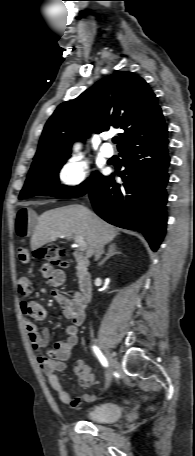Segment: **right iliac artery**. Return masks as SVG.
<instances>
[{
	"mask_svg": "<svg viewBox=\"0 0 195 456\" xmlns=\"http://www.w3.org/2000/svg\"><path fill=\"white\" fill-rule=\"evenodd\" d=\"M93 351L94 353L96 354L97 358L99 359L100 363L107 367L108 366V362H107V359L104 357V355L101 353V351L99 350L98 347L96 346H93Z\"/></svg>",
	"mask_w": 195,
	"mask_h": 456,
	"instance_id": "obj_1",
	"label": "right iliac artery"
}]
</instances>
